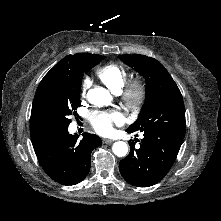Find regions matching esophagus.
Returning a JSON list of instances; mask_svg holds the SVG:
<instances>
[{
	"label": "esophagus",
	"mask_w": 221,
	"mask_h": 221,
	"mask_svg": "<svg viewBox=\"0 0 221 221\" xmlns=\"http://www.w3.org/2000/svg\"><path fill=\"white\" fill-rule=\"evenodd\" d=\"M102 142L105 143V144H111L113 142V140H111V139H103Z\"/></svg>",
	"instance_id": "34e87169"
}]
</instances>
